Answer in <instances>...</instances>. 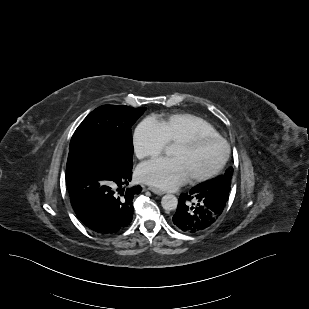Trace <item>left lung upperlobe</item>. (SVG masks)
<instances>
[{"label":"left lung upper lobe","instance_id":"obj_1","mask_svg":"<svg viewBox=\"0 0 309 309\" xmlns=\"http://www.w3.org/2000/svg\"><path fill=\"white\" fill-rule=\"evenodd\" d=\"M233 168L229 167L224 175L199 184L205 190L229 194Z\"/></svg>","mask_w":309,"mask_h":309}]
</instances>
